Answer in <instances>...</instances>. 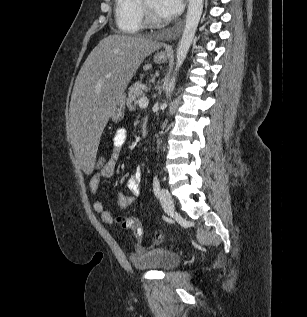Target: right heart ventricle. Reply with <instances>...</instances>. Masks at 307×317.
Segmentation results:
<instances>
[{
	"label": "right heart ventricle",
	"mask_w": 307,
	"mask_h": 317,
	"mask_svg": "<svg viewBox=\"0 0 307 317\" xmlns=\"http://www.w3.org/2000/svg\"><path fill=\"white\" fill-rule=\"evenodd\" d=\"M115 21L123 33H137L144 27L140 0H115Z\"/></svg>",
	"instance_id": "right-heart-ventricle-1"
}]
</instances>
